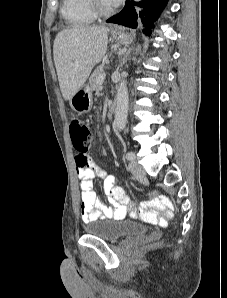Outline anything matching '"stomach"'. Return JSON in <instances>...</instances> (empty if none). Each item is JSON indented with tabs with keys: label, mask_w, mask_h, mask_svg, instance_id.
Listing matches in <instances>:
<instances>
[{
	"label": "stomach",
	"mask_w": 227,
	"mask_h": 298,
	"mask_svg": "<svg viewBox=\"0 0 227 298\" xmlns=\"http://www.w3.org/2000/svg\"><path fill=\"white\" fill-rule=\"evenodd\" d=\"M113 39L121 45L133 42V36L123 29L111 31ZM71 108L78 114L88 113L92 108V90L88 85H83L70 99Z\"/></svg>",
	"instance_id": "1"
}]
</instances>
